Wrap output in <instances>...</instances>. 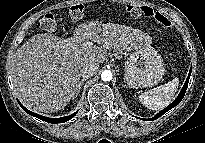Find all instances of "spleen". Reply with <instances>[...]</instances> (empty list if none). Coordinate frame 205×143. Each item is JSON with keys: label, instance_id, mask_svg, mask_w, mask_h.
Instances as JSON below:
<instances>
[{"label": "spleen", "instance_id": "obj_1", "mask_svg": "<svg viewBox=\"0 0 205 143\" xmlns=\"http://www.w3.org/2000/svg\"><path fill=\"white\" fill-rule=\"evenodd\" d=\"M179 86V79L175 77L168 83L153 88L139 96L140 102L151 110H160L168 106L173 100Z\"/></svg>", "mask_w": 205, "mask_h": 143}]
</instances>
